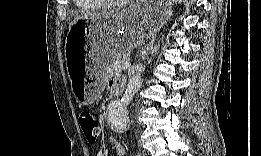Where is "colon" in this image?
<instances>
[{
	"mask_svg": "<svg viewBox=\"0 0 261 156\" xmlns=\"http://www.w3.org/2000/svg\"><path fill=\"white\" fill-rule=\"evenodd\" d=\"M78 120L85 139L89 143H94L99 135V123L96 116L88 110H82L78 115Z\"/></svg>",
	"mask_w": 261,
	"mask_h": 156,
	"instance_id": "colon-1",
	"label": "colon"
}]
</instances>
